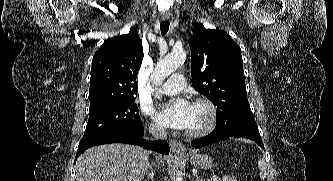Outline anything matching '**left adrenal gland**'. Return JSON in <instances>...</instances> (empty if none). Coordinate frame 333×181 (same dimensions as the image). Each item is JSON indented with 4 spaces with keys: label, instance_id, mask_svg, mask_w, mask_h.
<instances>
[{
    "label": "left adrenal gland",
    "instance_id": "a2214340",
    "mask_svg": "<svg viewBox=\"0 0 333 181\" xmlns=\"http://www.w3.org/2000/svg\"><path fill=\"white\" fill-rule=\"evenodd\" d=\"M195 181H205L203 178L199 177L197 174H194Z\"/></svg>",
    "mask_w": 333,
    "mask_h": 181
}]
</instances>
